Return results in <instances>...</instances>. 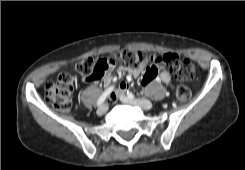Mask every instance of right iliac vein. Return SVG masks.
<instances>
[{
	"instance_id": "right-iliac-vein-1",
	"label": "right iliac vein",
	"mask_w": 245,
	"mask_h": 170,
	"mask_svg": "<svg viewBox=\"0 0 245 170\" xmlns=\"http://www.w3.org/2000/svg\"><path fill=\"white\" fill-rule=\"evenodd\" d=\"M107 110H108V105H107V104H102V105L98 108L97 114H98V115H103Z\"/></svg>"
}]
</instances>
